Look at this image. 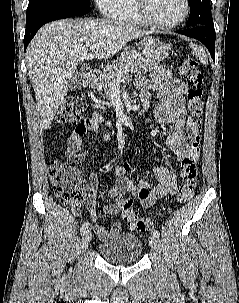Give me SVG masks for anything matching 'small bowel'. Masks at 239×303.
Returning <instances> with one entry per match:
<instances>
[{
	"label": "small bowel",
	"instance_id": "obj_1",
	"mask_svg": "<svg viewBox=\"0 0 239 303\" xmlns=\"http://www.w3.org/2000/svg\"><path fill=\"white\" fill-rule=\"evenodd\" d=\"M136 86L141 92L144 103L151 102V93H155L158 102L155 105V116L159 123L171 125L173 130L166 139V146L174 153L177 160H181L185 152L184 137V106L183 97L187 87L184 82L173 78L168 70H159L151 78L138 77ZM103 116L95 113L85 118L72 132L67 140V148L65 154L70 158L77 159L80 163L87 156L83 150V137L88 133L100 134L102 140L108 141L110 135L101 131V123ZM131 169V164L124 163L118 165L114 169L117 176L116 184L107 193L110 199L115 201L106 204L102 212L105 215H116L120 212L123 202L121 194L129 192L136 196L141 204L145 207L154 205L159 199L166 195H174L177 193V174L164 166H153L152 172L156 178V184L151 185L144 179L134 184L126 173ZM99 186V177L96 171H92L89 176V195L87 199V210L93 222L92 230L104 241H109L118 235L121 231V222L116 221L110 227L100 225L95 221L97 215V191ZM74 215L80 216V210L72 209Z\"/></svg>",
	"mask_w": 239,
	"mask_h": 303
}]
</instances>
